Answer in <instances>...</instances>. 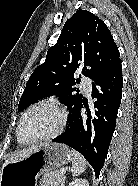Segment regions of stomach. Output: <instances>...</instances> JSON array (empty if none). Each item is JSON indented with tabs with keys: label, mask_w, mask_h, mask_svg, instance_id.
I'll return each mask as SVG.
<instances>
[{
	"label": "stomach",
	"mask_w": 138,
	"mask_h": 186,
	"mask_svg": "<svg viewBox=\"0 0 138 186\" xmlns=\"http://www.w3.org/2000/svg\"><path fill=\"white\" fill-rule=\"evenodd\" d=\"M72 159L71 151L64 144L45 143L24 158L13 159L2 167L0 186H36L38 177Z\"/></svg>",
	"instance_id": "0dacf381"
}]
</instances>
